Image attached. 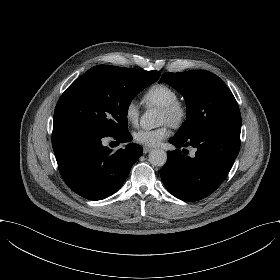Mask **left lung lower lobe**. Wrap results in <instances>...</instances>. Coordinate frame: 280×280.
Returning a JSON list of instances; mask_svg holds the SVG:
<instances>
[{
    "label": "left lung lower lobe",
    "mask_w": 280,
    "mask_h": 280,
    "mask_svg": "<svg viewBox=\"0 0 280 280\" xmlns=\"http://www.w3.org/2000/svg\"><path fill=\"white\" fill-rule=\"evenodd\" d=\"M241 125L210 128L190 137H172L176 148L191 145L194 158L183 150L168 152L160 176L167 190L184 201L201 200L212 194L225 180L240 149ZM188 152V151H187Z\"/></svg>",
    "instance_id": "left-lung-lower-lobe-1"
}]
</instances>
